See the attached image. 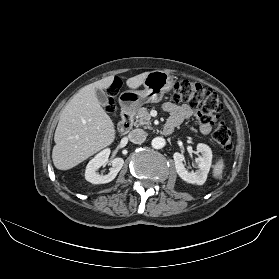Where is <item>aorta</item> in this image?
<instances>
[{"instance_id": "1", "label": "aorta", "mask_w": 279, "mask_h": 279, "mask_svg": "<svg viewBox=\"0 0 279 279\" xmlns=\"http://www.w3.org/2000/svg\"><path fill=\"white\" fill-rule=\"evenodd\" d=\"M165 144L166 141L162 137H155L151 142L152 147L155 149H161L165 146Z\"/></svg>"}]
</instances>
